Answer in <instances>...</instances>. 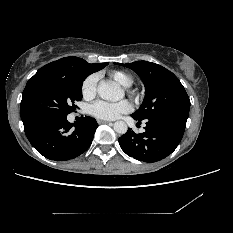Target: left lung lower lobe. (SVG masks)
Masks as SVG:
<instances>
[{"instance_id":"1","label":"left lung lower lobe","mask_w":233,"mask_h":233,"mask_svg":"<svg viewBox=\"0 0 233 233\" xmlns=\"http://www.w3.org/2000/svg\"><path fill=\"white\" fill-rule=\"evenodd\" d=\"M145 121V132L136 134L128 129L118 141L128 156L147 163L157 162L174 152L183 137L186 122L160 118Z\"/></svg>"}]
</instances>
